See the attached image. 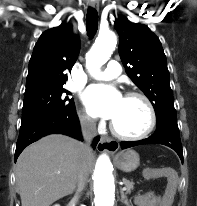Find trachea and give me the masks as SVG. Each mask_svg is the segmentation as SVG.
<instances>
[{
	"label": "trachea",
	"instance_id": "trachea-1",
	"mask_svg": "<svg viewBox=\"0 0 197 206\" xmlns=\"http://www.w3.org/2000/svg\"><path fill=\"white\" fill-rule=\"evenodd\" d=\"M86 26L89 37H93L98 28V13L94 8H88Z\"/></svg>",
	"mask_w": 197,
	"mask_h": 206
}]
</instances>
